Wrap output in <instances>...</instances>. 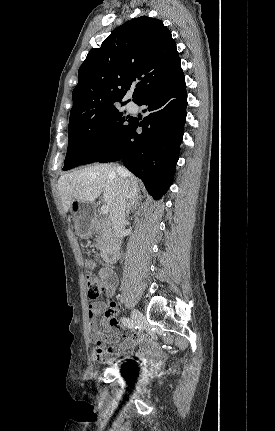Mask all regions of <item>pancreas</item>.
<instances>
[{
  "instance_id": "cf45deb5",
  "label": "pancreas",
  "mask_w": 275,
  "mask_h": 431,
  "mask_svg": "<svg viewBox=\"0 0 275 431\" xmlns=\"http://www.w3.org/2000/svg\"><path fill=\"white\" fill-rule=\"evenodd\" d=\"M96 231V248L102 250L106 246L107 240L110 238V233L100 222H98L96 225Z\"/></svg>"
}]
</instances>
